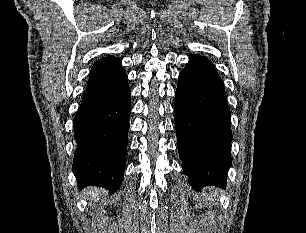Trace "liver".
<instances>
[{
    "mask_svg": "<svg viewBox=\"0 0 306 233\" xmlns=\"http://www.w3.org/2000/svg\"><path fill=\"white\" fill-rule=\"evenodd\" d=\"M102 190L96 187H89L86 191L85 194L89 198V200L94 201L96 203L101 195Z\"/></svg>",
    "mask_w": 306,
    "mask_h": 233,
    "instance_id": "6515ba94",
    "label": "liver"
}]
</instances>
